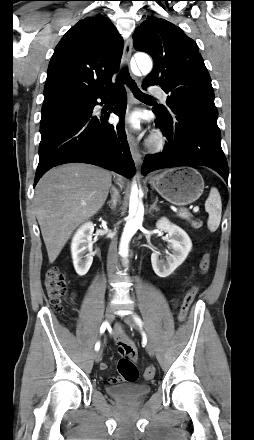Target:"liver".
<instances>
[{"label":"liver","instance_id":"obj_1","mask_svg":"<svg viewBox=\"0 0 254 440\" xmlns=\"http://www.w3.org/2000/svg\"><path fill=\"white\" fill-rule=\"evenodd\" d=\"M112 174L99 167L70 163L49 170L35 189V213L53 263L73 231L104 205ZM117 183L123 187L122 177Z\"/></svg>","mask_w":254,"mask_h":440}]
</instances>
